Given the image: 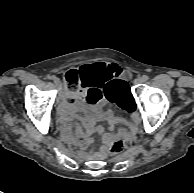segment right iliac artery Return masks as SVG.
I'll list each match as a JSON object with an SVG mask.
<instances>
[{
	"label": "right iliac artery",
	"instance_id": "right-iliac-artery-1",
	"mask_svg": "<svg viewBox=\"0 0 194 193\" xmlns=\"http://www.w3.org/2000/svg\"><path fill=\"white\" fill-rule=\"evenodd\" d=\"M51 79H52V80H55V79H56V77H55V76H51Z\"/></svg>",
	"mask_w": 194,
	"mask_h": 193
}]
</instances>
